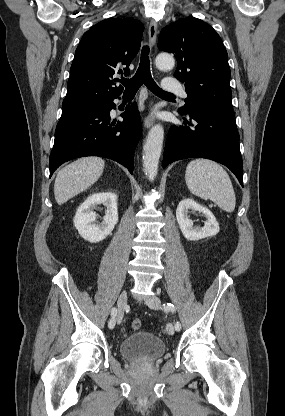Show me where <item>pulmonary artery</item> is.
<instances>
[{"label":"pulmonary artery","instance_id":"obj_1","mask_svg":"<svg viewBox=\"0 0 285 416\" xmlns=\"http://www.w3.org/2000/svg\"><path fill=\"white\" fill-rule=\"evenodd\" d=\"M173 81L171 79H165L163 81V85L167 90V93L169 96H176L179 94L183 98H186L188 96L187 91L184 86H182L179 83H172Z\"/></svg>","mask_w":285,"mask_h":416}]
</instances>
